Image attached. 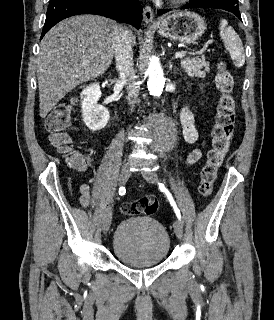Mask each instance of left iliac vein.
<instances>
[{
    "label": "left iliac vein",
    "mask_w": 274,
    "mask_h": 320,
    "mask_svg": "<svg viewBox=\"0 0 274 320\" xmlns=\"http://www.w3.org/2000/svg\"><path fill=\"white\" fill-rule=\"evenodd\" d=\"M142 176L145 178L146 181L156 184L158 182V176L153 171H143ZM174 232L178 239H182L183 237V225L179 219H176L173 224Z\"/></svg>",
    "instance_id": "4c4485c4"
}]
</instances>
